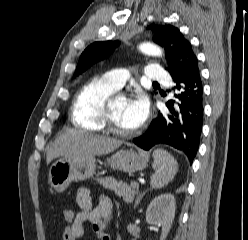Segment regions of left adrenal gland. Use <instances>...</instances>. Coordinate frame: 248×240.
<instances>
[{
	"instance_id": "obj_1",
	"label": "left adrenal gland",
	"mask_w": 248,
	"mask_h": 240,
	"mask_svg": "<svg viewBox=\"0 0 248 240\" xmlns=\"http://www.w3.org/2000/svg\"><path fill=\"white\" fill-rule=\"evenodd\" d=\"M148 192V190L144 191L143 193H140L135 201L134 208L137 207L141 199L144 197V195Z\"/></svg>"
}]
</instances>
